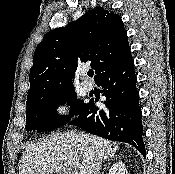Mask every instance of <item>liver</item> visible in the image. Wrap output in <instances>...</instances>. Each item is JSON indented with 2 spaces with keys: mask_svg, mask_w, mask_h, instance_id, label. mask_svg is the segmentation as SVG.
Wrapping results in <instances>:
<instances>
[{
  "mask_svg": "<svg viewBox=\"0 0 175 174\" xmlns=\"http://www.w3.org/2000/svg\"><path fill=\"white\" fill-rule=\"evenodd\" d=\"M118 149L117 143L95 135L74 131L56 133L26 147L19 174H75L70 157L77 158L86 174H90L96 159H110Z\"/></svg>",
  "mask_w": 175,
  "mask_h": 174,
  "instance_id": "6515ba94",
  "label": "liver"
}]
</instances>
